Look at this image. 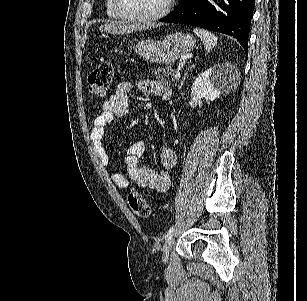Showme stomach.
<instances>
[{
	"instance_id": "0dacf381",
	"label": "stomach",
	"mask_w": 307,
	"mask_h": 301,
	"mask_svg": "<svg viewBox=\"0 0 307 301\" xmlns=\"http://www.w3.org/2000/svg\"><path fill=\"white\" fill-rule=\"evenodd\" d=\"M196 44V38L189 32H173L163 40L158 38H142L133 44L134 52L147 62L157 64H173L182 54L190 52Z\"/></svg>"
}]
</instances>
